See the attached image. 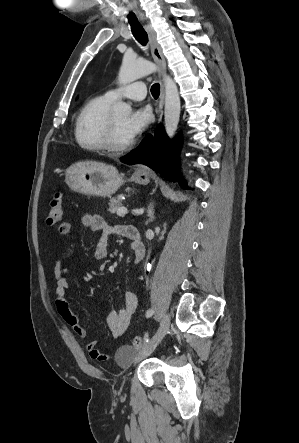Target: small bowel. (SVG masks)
<instances>
[{
	"instance_id": "c3829d8e",
	"label": "small bowel",
	"mask_w": 299,
	"mask_h": 443,
	"mask_svg": "<svg viewBox=\"0 0 299 443\" xmlns=\"http://www.w3.org/2000/svg\"><path fill=\"white\" fill-rule=\"evenodd\" d=\"M80 222L83 226L89 228L92 232L98 233V241L95 251V258L98 260L105 259L108 256L107 243L111 234L116 233L121 236L127 237V230L130 226H110L99 215L85 214L80 218ZM72 232V226L68 222H63L58 227V233L60 236H69ZM143 258V255H138L134 252L133 264L139 263ZM68 265L63 264L59 259L56 260L54 265V277L56 280L55 285V305L57 312L62 319L73 329V331L81 338L87 337V331L81 324L79 317L72 311L70 304L66 298V291L68 283L66 274ZM138 305V297L134 291L127 290L123 295V307L120 310H114L108 313L106 317L107 328L114 338H119L127 331L132 316L136 311ZM87 350L91 358L104 361L109 356L98 349L96 341L87 342Z\"/></svg>"
}]
</instances>
